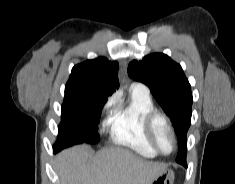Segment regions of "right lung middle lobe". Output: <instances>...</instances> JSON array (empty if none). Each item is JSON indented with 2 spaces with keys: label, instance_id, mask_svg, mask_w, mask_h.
Segmentation results:
<instances>
[{
  "label": "right lung middle lobe",
  "instance_id": "dd1d6c3e",
  "mask_svg": "<svg viewBox=\"0 0 235 184\" xmlns=\"http://www.w3.org/2000/svg\"><path fill=\"white\" fill-rule=\"evenodd\" d=\"M89 98L88 91H65L54 152L83 142L96 144L99 141L98 120L104 104L92 105Z\"/></svg>",
  "mask_w": 235,
  "mask_h": 184
}]
</instances>
